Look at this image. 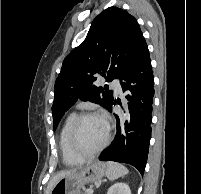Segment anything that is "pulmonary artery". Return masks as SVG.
<instances>
[{"label":"pulmonary artery","instance_id":"pulmonary-artery-1","mask_svg":"<svg viewBox=\"0 0 201 194\" xmlns=\"http://www.w3.org/2000/svg\"><path fill=\"white\" fill-rule=\"evenodd\" d=\"M111 85L114 88L116 93H118V94L122 93V86H121L120 81L118 79H114L112 81Z\"/></svg>","mask_w":201,"mask_h":194}]
</instances>
